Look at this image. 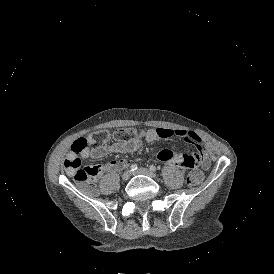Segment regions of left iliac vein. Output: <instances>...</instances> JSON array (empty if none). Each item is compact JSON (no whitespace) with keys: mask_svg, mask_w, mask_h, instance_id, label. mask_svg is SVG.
<instances>
[{"mask_svg":"<svg viewBox=\"0 0 274 274\" xmlns=\"http://www.w3.org/2000/svg\"><path fill=\"white\" fill-rule=\"evenodd\" d=\"M132 175H146L153 179H155L157 177V175L154 172L149 171L148 169H145V168H140V169L132 172Z\"/></svg>","mask_w":274,"mask_h":274,"instance_id":"left-iliac-vein-1","label":"left iliac vein"}]
</instances>
